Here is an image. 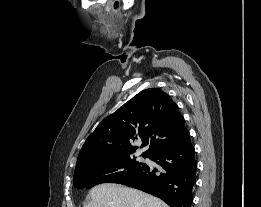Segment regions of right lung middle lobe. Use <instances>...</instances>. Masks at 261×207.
I'll use <instances>...</instances> for the list:
<instances>
[{
    "label": "right lung middle lobe",
    "mask_w": 261,
    "mask_h": 207,
    "mask_svg": "<svg viewBox=\"0 0 261 207\" xmlns=\"http://www.w3.org/2000/svg\"><path fill=\"white\" fill-rule=\"evenodd\" d=\"M146 166L131 159L130 155L110 157L76 168L73 184L77 188H91L105 182L118 183Z\"/></svg>",
    "instance_id": "obj_1"
}]
</instances>
